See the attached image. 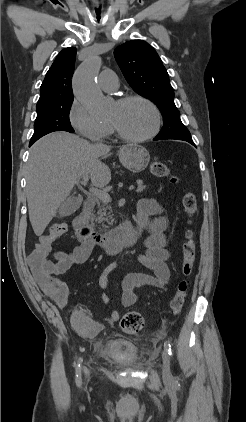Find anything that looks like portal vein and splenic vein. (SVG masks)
Instances as JSON below:
<instances>
[{
  "label": "portal vein and splenic vein",
  "instance_id": "1",
  "mask_svg": "<svg viewBox=\"0 0 246 422\" xmlns=\"http://www.w3.org/2000/svg\"><path fill=\"white\" fill-rule=\"evenodd\" d=\"M88 179H89L88 175H84L82 177L81 183L82 184H87ZM133 189H134V186H130L129 187V190H133ZM90 192L93 195H95L97 198H99L100 200H102V201H105V202H110L111 201L110 195L107 192H105V191L99 190L97 188H90Z\"/></svg>",
  "mask_w": 246,
  "mask_h": 422
}]
</instances>
